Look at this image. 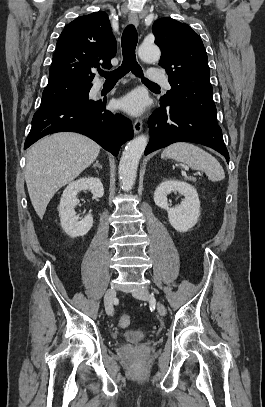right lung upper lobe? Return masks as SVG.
<instances>
[{
    "instance_id": "right-lung-upper-lobe-1",
    "label": "right lung upper lobe",
    "mask_w": 265,
    "mask_h": 407,
    "mask_svg": "<svg viewBox=\"0 0 265 407\" xmlns=\"http://www.w3.org/2000/svg\"><path fill=\"white\" fill-rule=\"evenodd\" d=\"M116 39L104 11L76 18L69 23L58 39L53 56L49 82L91 84L97 66L111 68Z\"/></svg>"
}]
</instances>
